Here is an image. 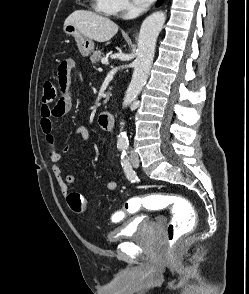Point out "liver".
I'll return each instance as SVG.
<instances>
[{
  "label": "liver",
  "mask_w": 249,
  "mask_h": 294,
  "mask_svg": "<svg viewBox=\"0 0 249 294\" xmlns=\"http://www.w3.org/2000/svg\"><path fill=\"white\" fill-rule=\"evenodd\" d=\"M65 24H73L82 35L97 42H108L118 31L113 21L87 10L74 11Z\"/></svg>",
  "instance_id": "6515ba94"
}]
</instances>
